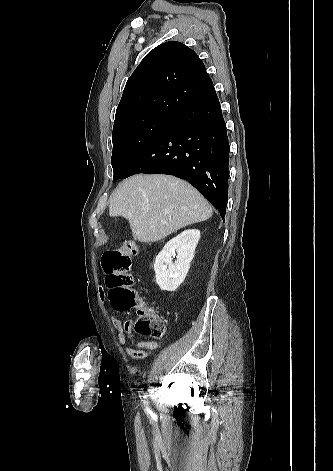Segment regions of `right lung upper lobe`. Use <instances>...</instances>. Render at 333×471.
I'll return each instance as SVG.
<instances>
[{"instance_id": "obj_1", "label": "right lung upper lobe", "mask_w": 333, "mask_h": 471, "mask_svg": "<svg viewBox=\"0 0 333 471\" xmlns=\"http://www.w3.org/2000/svg\"><path fill=\"white\" fill-rule=\"evenodd\" d=\"M213 87L197 54L176 41L151 50L128 79L115 121L132 114H178Z\"/></svg>"}]
</instances>
